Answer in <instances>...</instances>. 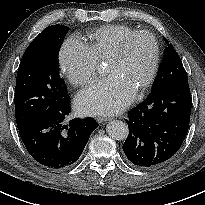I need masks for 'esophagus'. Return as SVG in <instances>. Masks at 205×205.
<instances>
[{"label":"esophagus","instance_id":"esophagus-1","mask_svg":"<svg viewBox=\"0 0 205 205\" xmlns=\"http://www.w3.org/2000/svg\"><path fill=\"white\" fill-rule=\"evenodd\" d=\"M96 121H97L98 123H104V122L108 121V119L103 118V117H97V118H96Z\"/></svg>","mask_w":205,"mask_h":205}]
</instances>
